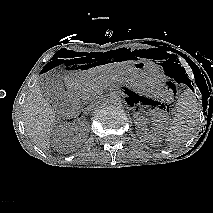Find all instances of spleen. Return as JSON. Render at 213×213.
<instances>
[{"label": "spleen", "instance_id": "3e777b00", "mask_svg": "<svg viewBox=\"0 0 213 213\" xmlns=\"http://www.w3.org/2000/svg\"><path fill=\"white\" fill-rule=\"evenodd\" d=\"M201 104L191 89H186L177 101L176 114L166 134L170 148L184 143L195 131L198 124Z\"/></svg>", "mask_w": 213, "mask_h": 213}]
</instances>
